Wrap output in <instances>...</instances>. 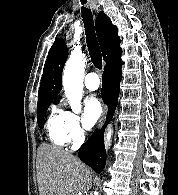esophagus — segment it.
Returning a JSON list of instances; mask_svg holds the SVG:
<instances>
[{
  "mask_svg": "<svg viewBox=\"0 0 178 195\" xmlns=\"http://www.w3.org/2000/svg\"><path fill=\"white\" fill-rule=\"evenodd\" d=\"M106 115H107V107L105 106L102 117L99 120V124H98L99 127H101L103 122L105 121Z\"/></svg>",
  "mask_w": 178,
  "mask_h": 195,
  "instance_id": "1",
  "label": "esophagus"
}]
</instances>
